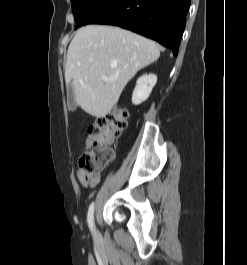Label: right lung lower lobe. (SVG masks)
<instances>
[{
  "label": "right lung lower lobe",
  "instance_id": "98d812e1",
  "mask_svg": "<svg viewBox=\"0 0 247 265\" xmlns=\"http://www.w3.org/2000/svg\"><path fill=\"white\" fill-rule=\"evenodd\" d=\"M191 0H98L77 22L129 29L170 47L175 56Z\"/></svg>",
  "mask_w": 247,
  "mask_h": 265
}]
</instances>
